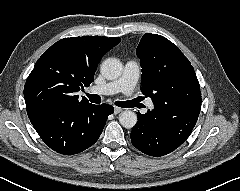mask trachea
Masks as SVG:
<instances>
[{"label":"trachea","mask_w":240,"mask_h":191,"mask_svg":"<svg viewBox=\"0 0 240 191\" xmlns=\"http://www.w3.org/2000/svg\"><path fill=\"white\" fill-rule=\"evenodd\" d=\"M87 97L92 103L99 104L101 103V97L97 94H87ZM115 105L123 108H127L129 105L128 101H116Z\"/></svg>","instance_id":"trachea-1"}]
</instances>
